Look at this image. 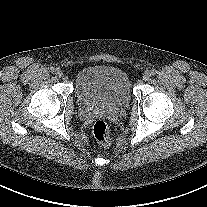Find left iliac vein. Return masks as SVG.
<instances>
[{
    "instance_id": "1",
    "label": "left iliac vein",
    "mask_w": 207,
    "mask_h": 207,
    "mask_svg": "<svg viewBox=\"0 0 207 207\" xmlns=\"http://www.w3.org/2000/svg\"><path fill=\"white\" fill-rule=\"evenodd\" d=\"M150 76H151V73L150 72H145L144 74H143V80H148L149 78H150Z\"/></svg>"
}]
</instances>
